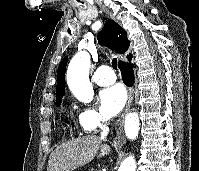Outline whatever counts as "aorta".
Masks as SVG:
<instances>
[{
    "mask_svg": "<svg viewBox=\"0 0 199 171\" xmlns=\"http://www.w3.org/2000/svg\"><path fill=\"white\" fill-rule=\"evenodd\" d=\"M90 56L87 52H78L70 61L67 69V84L72 94L80 101L89 103L93 99L94 91L89 81ZM139 116L137 112H130L125 118V134L130 140L136 139L139 131ZM136 163L133 156L127 157L121 164L119 171H135Z\"/></svg>",
    "mask_w": 199,
    "mask_h": 171,
    "instance_id": "obj_1",
    "label": "aorta"
}]
</instances>
